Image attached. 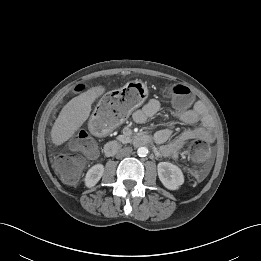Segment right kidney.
I'll return each mask as SVG.
<instances>
[{"mask_svg":"<svg viewBox=\"0 0 261 261\" xmlns=\"http://www.w3.org/2000/svg\"><path fill=\"white\" fill-rule=\"evenodd\" d=\"M104 172V166L102 164H96L92 166L85 176V185L87 187H93L101 179Z\"/></svg>","mask_w":261,"mask_h":261,"instance_id":"ca27d5eb","label":"right kidney"}]
</instances>
